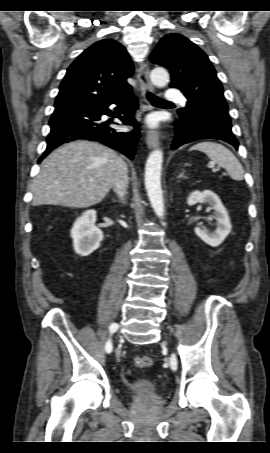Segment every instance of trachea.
Listing matches in <instances>:
<instances>
[{
  "label": "trachea",
  "instance_id": "1",
  "mask_svg": "<svg viewBox=\"0 0 270 453\" xmlns=\"http://www.w3.org/2000/svg\"><path fill=\"white\" fill-rule=\"evenodd\" d=\"M146 96L148 98V100L154 104V105H166V104H172V102H169L167 100H164V99H161L155 95H153L152 93L150 92H147L146 93Z\"/></svg>",
  "mask_w": 270,
  "mask_h": 453
}]
</instances>
